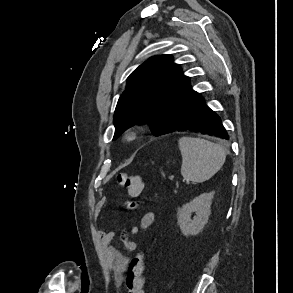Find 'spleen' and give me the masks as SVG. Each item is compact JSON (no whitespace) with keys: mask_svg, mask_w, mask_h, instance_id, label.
<instances>
[{"mask_svg":"<svg viewBox=\"0 0 293 293\" xmlns=\"http://www.w3.org/2000/svg\"><path fill=\"white\" fill-rule=\"evenodd\" d=\"M178 144L182 155L181 175L186 181L205 182L225 162L226 150L220 144L194 137H182Z\"/></svg>","mask_w":293,"mask_h":293,"instance_id":"spleen-1","label":"spleen"}]
</instances>
